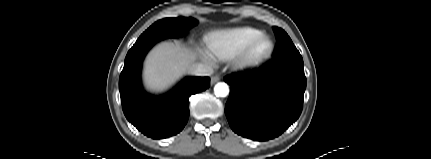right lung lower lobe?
<instances>
[{"instance_id":"obj_1","label":"right lung lower lobe","mask_w":431,"mask_h":159,"mask_svg":"<svg viewBox=\"0 0 431 159\" xmlns=\"http://www.w3.org/2000/svg\"><path fill=\"white\" fill-rule=\"evenodd\" d=\"M160 40L136 42L128 51L120 74L122 109L128 121L153 139L178 134L189 118V97L209 88V77H187L170 92L154 96L141 85L142 61L148 50Z\"/></svg>"}]
</instances>
